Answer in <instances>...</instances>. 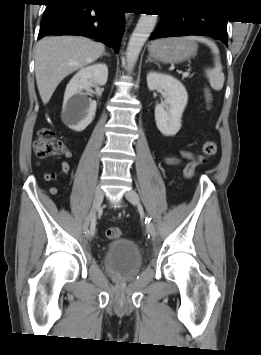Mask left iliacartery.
<instances>
[{
    "label": "left iliac artery",
    "instance_id": "left-iliac-artery-1",
    "mask_svg": "<svg viewBox=\"0 0 261 355\" xmlns=\"http://www.w3.org/2000/svg\"><path fill=\"white\" fill-rule=\"evenodd\" d=\"M145 224H146V226H147V232L149 233V225L151 224V218H149V217H146L145 218ZM150 233H149V235H148V237H150Z\"/></svg>",
    "mask_w": 261,
    "mask_h": 355
}]
</instances>
